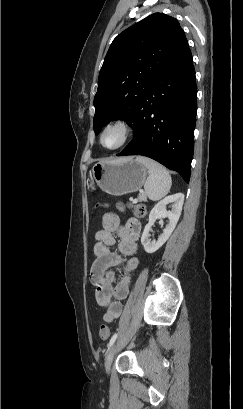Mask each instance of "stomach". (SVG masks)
<instances>
[{"label":"stomach","instance_id":"stomach-1","mask_svg":"<svg viewBox=\"0 0 243 409\" xmlns=\"http://www.w3.org/2000/svg\"><path fill=\"white\" fill-rule=\"evenodd\" d=\"M147 168L131 157L99 162L92 167L88 188L99 187L113 196L138 191L145 183Z\"/></svg>","mask_w":243,"mask_h":409}]
</instances>
